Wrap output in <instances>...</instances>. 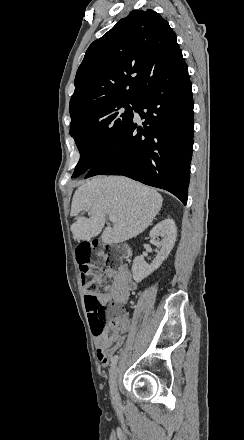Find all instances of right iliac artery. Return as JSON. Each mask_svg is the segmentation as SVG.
Segmentation results:
<instances>
[{"instance_id":"obj_1","label":"right iliac artery","mask_w":244,"mask_h":440,"mask_svg":"<svg viewBox=\"0 0 244 440\" xmlns=\"http://www.w3.org/2000/svg\"><path fill=\"white\" fill-rule=\"evenodd\" d=\"M118 361V355H115L111 358L110 371L115 367Z\"/></svg>"}]
</instances>
